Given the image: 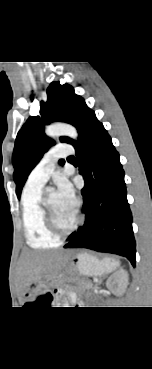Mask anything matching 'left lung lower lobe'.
I'll return each instance as SVG.
<instances>
[{"label":"left lung lower lobe","mask_w":152,"mask_h":369,"mask_svg":"<svg viewBox=\"0 0 152 369\" xmlns=\"http://www.w3.org/2000/svg\"><path fill=\"white\" fill-rule=\"evenodd\" d=\"M85 186L81 190L85 223L64 248H89L126 257L135 267L132 213L124 170L111 137L93 113L73 145Z\"/></svg>","instance_id":"left-lung-lower-lobe-1"}]
</instances>
